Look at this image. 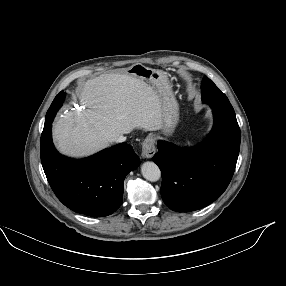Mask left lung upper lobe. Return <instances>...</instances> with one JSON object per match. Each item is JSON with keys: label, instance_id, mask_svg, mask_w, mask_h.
<instances>
[{"label": "left lung upper lobe", "instance_id": "obj_1", "mask_svg": "<svg viewBox=\"0 0 286 286\" xmlns=\"http://www.w3.org/2000/svg\"><path fill=\"white\" fill-rule=\"evenodd\" d=\"M201 88L202 99L205 103L210 106H222L226 111L235 113L226 95L217 88L212 80L207 77L203 78Z\"/></svg>", "mask_w": 286, "mask_h": 286}]
</instances>
